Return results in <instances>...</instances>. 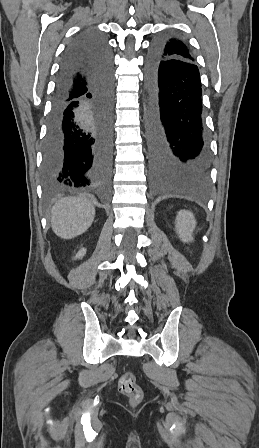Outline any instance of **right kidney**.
I'll return each instance as SVG.
<instances>
[{"label": "right kidney", "instance_id": "obj_1", "mask_svg": "<svg viewBox=\"0 0 259 448\" xmlns=\"http://www.w3.org/2000/svg\"><path fill=\"white\" fill-rule=\"evenodd\" d=\"M85 254H86L85 248H81V250H79V252H77L74 260H80V258H83V256H85Z\"/></svg>", "mask_w": 259, "mask_h": 448}]
</instances>
